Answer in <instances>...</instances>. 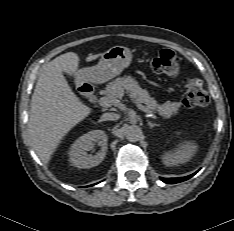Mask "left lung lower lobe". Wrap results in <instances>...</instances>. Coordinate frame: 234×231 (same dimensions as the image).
<instances>
[{"label": "left lung lower lobe", "instance_id": "left-lung-lower-lobe-1", "mask_svg": "<svg viewBox=\"0 0 234 231\" xmlns=\"http://www.w3.org/2000/svg\"><path fill=\"white\" fill-rule=\"evenodd\" d=\"M196 174V173H194ZM194 174H191L189 176H186V177H180V178H161V180L165 183H178V182H182V181H185L189 178H191Z\"/></svg>", "mask_w": 234, "mask_h": 231}]
</instances>
